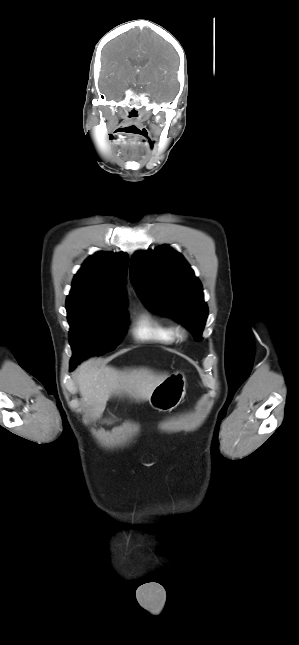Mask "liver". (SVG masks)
Returning <instances> with one entry per match:
<instances>
[{
    "instance_id": "6515ba94",
    "label": "liver",
    "mask_w": 299,
    "mask_h": 645,
    "mask_svg": "<svg viewBox=\"0 0 299 645\" xmlns=\"http://www.w3.org/2000/svg\"><path fill=\"white\" fill-rule=\"evenodd\" d=\"M167 377L145 368L121 371L105 365L99 367L94 359L83 362L76 371L82 400L95 418L102 415L112 396L149 400L154 388Z\"/></svg>"
}]
</instances>
